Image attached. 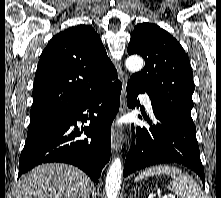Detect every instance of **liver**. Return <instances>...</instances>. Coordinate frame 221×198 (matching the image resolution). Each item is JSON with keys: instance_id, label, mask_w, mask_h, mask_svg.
Listing matches in <instances>:
<instances>
[{"instance_id": "obj_1", "label": "liver", "mask_w": 221, "mask_h": 198, "mask_svg": "<svg viewBox=\"0 0 221 198\" xmlns=\"http://www.w3.org/2000/svg\"><path fill=\"white\" fill-rule=\"evenodd\" d=\"M90 179L77 167L48 163L23 176L12 198H89Z\"/></svg>"}]
</instances>
